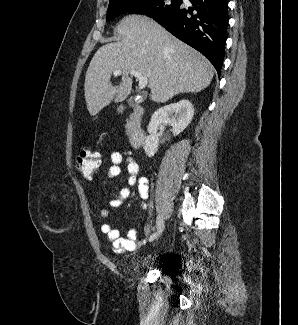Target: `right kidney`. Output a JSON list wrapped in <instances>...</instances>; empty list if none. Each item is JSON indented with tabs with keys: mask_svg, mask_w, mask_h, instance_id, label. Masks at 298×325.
<instances>
[{
	"mask_svg": "<svg viewBox=\"0 0 298 325\" xmlns=\"http://www.w3.org/2000/svg\"><path fill=\"white\" fill-rule=\"evenodd\" d=\"M194 114V108L190 100L182 98L179 102H171L166 106H161L153 112L151 120L147 126L148 136L143 142V148L147 156H154L158 150L160 124H171L174 136L183 132L184 128L190 124Z\"/></svg>",
	"mask_w": 298,
	"mask_h": 325,
	"instance_id": "ca27d5eb",
	"label": "right kidney"
}]
</instances>
